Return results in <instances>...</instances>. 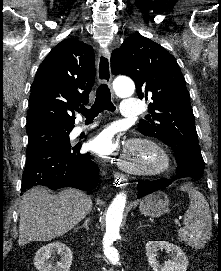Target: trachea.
Segmentation results:
<instances>
[{"instance_id": "obj_1", "label": "trachea", "mask_w": 221, "mask_h": 271, "mask_svg": "<svg viewBox=\"0 0 221 271\" xmlns=\"http://www.w3.org/2000/svg\"><path fill=\"white\" fill-rule=\"evenodd\" d=\"M115 109L116 108L111 101L110 89L106 84L102 83L97 88L94 105H92L90 109L81 106L77 111L85 116L86 121H92L102 111L108 110L114 112Z\"/></svg>"}]
</instances>
